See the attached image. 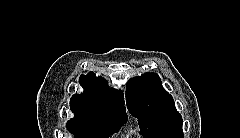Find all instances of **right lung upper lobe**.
Returning <instances> with one entry per match:
<instances>
[{
    "label": "right lung upper lobe",
    "mask_w": 240,
    "mask_h": 138,
    "mask_svg": "<svg viewBox=\"0 0 240 138\" xmlns=\"http://www.w3.org/2000/svg\"><path fill=\"white\" fill-rule=\"evenodd\" d=\"M79 83L84 92L72 96L70 108L75 117L69 121L104 126H121L127 121L122 93L109 89L105 79L90 72L81 75Z\"/></svg>",
    "instance_id": "1"
}]
</instances>
